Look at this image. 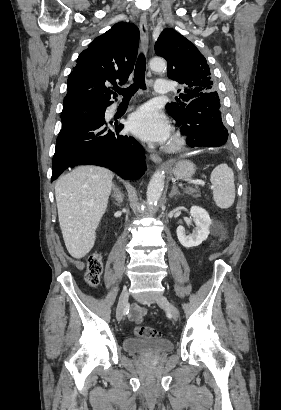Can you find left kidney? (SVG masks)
I'll list each match as a JSON object with an SVG mask.
<instances>
[{
    "label": "left kidney",
    "mask_w": 281,
    "mask_h": 410,
    "mask_svg": "<svg viewBox=\"0 0 281 410\" xmlns=\"http://www.w3.org/2000/svg\"><path fill=\"white\" fill-rule=\"evenodd\" d=\"M190 214L195 222L196 228L193 233L187 235L183 226L177 228V237L181 245L192 248L200 245L209 235L211 219L208 212L198 206H192Z\"/></svg>",
    "instance_id": "1"
}]
</instances>
